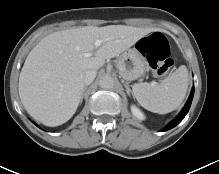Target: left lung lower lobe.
<instances>
[{"label":"left lung lower lobe","instance_id":"0a47b994","mask_svg":"<svg viewBox=\"0 0 219 174\" xmlns=\"http://www.w3.org/2000/svg\"><path fill=\"white\" fill-rule=\"evenodd\" d=\"M193 96H194V88H192L190 97H189V99H188V101H187L185 107H184L183 110L181 111V113L177 116V118H176L175 120H173L171 123H169V124L163 129V131H167V130H170V129L174 128L176 125H178V124L183 120V118L186 116V114H187L188 111H189V108H190L191 103H192Z\"/></svg>","mask_w":219,"mask_h":174}]
</instances>
